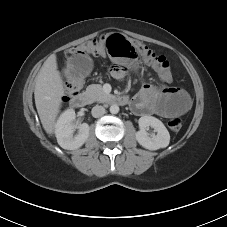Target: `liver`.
Masks as SVG:
<instances>
[{"mask_svg": "<svg viewBox=\"0 0 227 227\" xmlns=\"http://www.w3.org/2000/svg\"><path fill=\"white\" fill-rule=\"evenodd\" d=\"M63 95L64 82L58 71L56 56L51 55L36 76L34 90L36 109L42 126L49 135L54 133Z\"/></svg>", "mask_w": 227, "mask_h": 227, "instance_id": "liver-1", "label": "liver"}]
</instances>
